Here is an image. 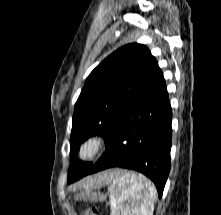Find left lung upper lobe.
<instances>
[{
  "mask_svg": "<svg viewBox=\"0 0 221 215\" xmlns=\"http://www.w3.org/2000/svg\"><path fill=\"white\" fill-rule=\"evenodd\" d=\"M155 64L145 45L132 43L113 52L88 76L72 118L70 157L74 163L68 181L82 178L92 167V163L76 161L81 143L98 134L107 144L119 113L142 88Z\"/></svg>",
  "mask_w": 221,
  "mask_h": 215,
  "instance_id": "left-lung-upper-lobe-1",
  "label": "left lung upper lobe"
}]
</instances>
